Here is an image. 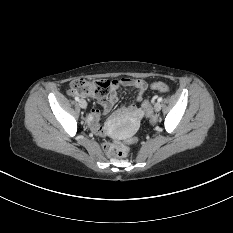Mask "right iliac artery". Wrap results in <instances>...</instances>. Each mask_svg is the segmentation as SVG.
I'll return each instance as SVG.
<instances>
[{
	"mask_svg": "<svg viewBox=\"0 0 233 233\" xmlns=\"http://www.w3.org/2000/svg\"><path fill=\"white\" fill-rule=\"evenodd\" d=\"M75 100H76V101H79V97H75Z\"/></svg>",
	"mask_w": 233,
	"mask_h": 233,
	"instance_id": "obj_1",
	"label": "right iliac artery"
}]
</instances>
